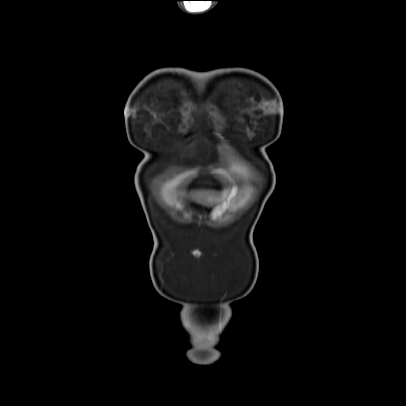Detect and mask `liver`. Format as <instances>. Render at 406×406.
<instances>
[{"instance_id": "liver-1", "label": "liver", "mask_w": 406, "mask_h": 406, "mask_svg": "<svg viewBox=\"0 0 406 406\" xmlns=\"http://www.w3.org/2000/svg\"><path fill=\"white\" fill-rule=\"evenodd\" d=\"M226 197V194H223L222 195V198H225ZM205 200V199H204ZM213 197L212 196H207L206 195V202L208 203V204H210V203H212L213 202Z\"/></svg>"}]
</instances>
